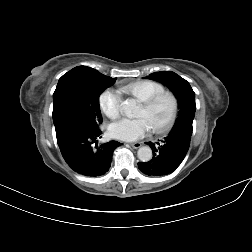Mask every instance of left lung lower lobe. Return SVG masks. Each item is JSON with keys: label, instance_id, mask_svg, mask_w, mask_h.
I'll use <instances>...</instances> for the list:
<instances>
[{"label": "left lung lower lobe", "instance_id": "obj_1", "mask_svg": "<svg viewBox=\"0 0 252 252\" xmlns=\"http://www.w3.org/2000/svg\"><path fill=\"white\" fill-rule=\"evenodd\" d=\"M192 123L189 120L181 121L160 142H148L153 157L148 162L138 163L141 172L148 176H163L175 171L189 150Z\"/></svg>", "mask_w": 252, "mask_h": 252}]
</instances>
